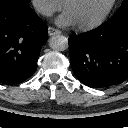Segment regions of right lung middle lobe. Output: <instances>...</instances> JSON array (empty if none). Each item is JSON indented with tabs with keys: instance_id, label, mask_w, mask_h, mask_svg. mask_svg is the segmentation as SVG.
I'll return each mask as SVG.
<instances>
[{
	"instance_id": "right-lung-middle-lobe-1",
	"label": "right lung middle lobe",
	"mask_w": 128,
	"mask_h": 128,
	"mask_svg": "<svg viewBox=\"0 0 128 128\" xmlns=\"http://www.w3.org/2000/svg\"><path fill=\"white\" fill-rule=\"evenodd\" d=\"M0 2H15V3L28 5L30 0H0Z\"/></svg>"
}]
</instances>
